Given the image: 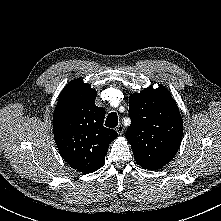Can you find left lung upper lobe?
<instances>
[{
  "mask_svg": "<svg viewBox=\"0 0 221 221\" xmlns=\"http://www.w3.org/2000/svg\"><path fill=\"white\" fill-rule=\"evenodd\" d=\"M129 116L126 138L137 164L155 170L170 162L183 135L182 117L170 92L160 85L132 94Z\"/></svg>",
  "mask_w": 221,
  "mask_h": 221,
  "instance_id": "1",
  "label": "left lung upper lobe"
}]
</instances>
